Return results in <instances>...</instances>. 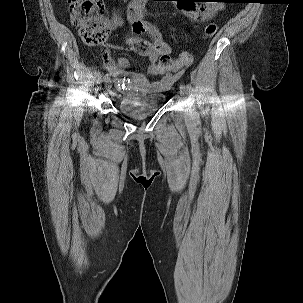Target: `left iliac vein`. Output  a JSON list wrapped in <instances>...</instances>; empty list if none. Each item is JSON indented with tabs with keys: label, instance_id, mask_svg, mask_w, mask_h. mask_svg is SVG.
Returning a JSON list of instances; mask_svg holds the SVG:
<instances>
[{
	"label": "left iliac vein",
	"instance_id": "left-iliac-vein-1",
	"mask_svg": "<svg viewBox=\"0 0 303 303\" xmlns=\"http://www.w3.org/2000/svg\"><path fill=\"white\" fill-rule=\"evenodd\" d=\"M180 94H181V96L183 97V98H185V96H186V91L184 90V88L181 86L180 87Z\"/></svg>",
	"mask_w": 303,
	"mask_h": 303
}]
</instances>
